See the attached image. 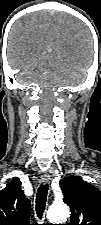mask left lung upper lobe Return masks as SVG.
I'll list each match as a JSON object with an SVG mask.
<instances>
[{"label":"left lung upper lobe","mask_w":101,"mask_h":225,"mask_svg":"<svg viewBox=\"0 0 101 225\" xmlns=\"http://www.w3.org/2000/svg\"><path fill=\"white\" fill-rule=\"evenodd\" d=\"M64 202L72 212L67 225H101V191L77 176L60 181Z\"/></svg>","instance_id":"1"}]
</instances>
